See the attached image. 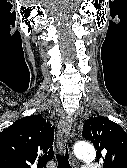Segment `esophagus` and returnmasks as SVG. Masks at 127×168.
Wrapping results in <instances>:
<instances>
[{"mask_svg":"<svg viewBox=\"0 0 127 168\" xmlns=\"http://www.w3.org/2000/svg\"><path fill=\"white\" fill-rule=\"evenodd\" d=\"M72 122H73L72 118L63 116L58 124L57 144H58L60 150H63L64 144L70 134ZM72 161L74 163L73 157H72Z\"/></svg>","mask_w":127,"mask_h":168,"instance_id":"esophagus-1","label":"esophagus"}]
</instances>
